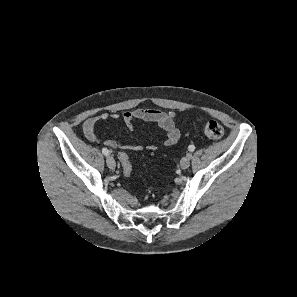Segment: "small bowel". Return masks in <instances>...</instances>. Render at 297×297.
<instances>
[{
  "label": "small bowel",
  "mask_w": 297,
  "mask_h": 297,
  "mask_svg": "<svg viewBox=\"0 0 297 297\" xmlns=\"http://www.w3.org/2000/svg\"><path fill=\"white\" fill-rule=\"evenodd\" d=\"M174 116L175 115L172 112H165L156 109L137 108L131 111L124 112L121 117L126 127L131 131L134 129V122L137 120L155 123L165 133V145L172 146L177 143L180 137V131L175 125ZM118 118L119 115L113 112H102L97 115L90 116L83 125V132L86 138L93 143L99 142L100 140L94 131L96 123L99 121H106ZM103 144L112 149H122L123 151H121L120 153L125 151L138 152L143 149H146L148 151H155L157 149V146L153 144L147 146H144L142 144H122L113 139H105L103 141Z\"/></svg>",
  "instance_id": "obj_1"
}]
</instances>
